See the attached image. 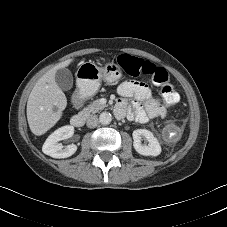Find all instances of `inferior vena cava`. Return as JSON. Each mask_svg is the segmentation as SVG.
Segmentation results:
<instances>
[{"label":"inferior vena cava","mask_w":227,"mask_h":227,"mask_svg":"<svg viewBox=\"0 0 227 227\" xmlns=\"http://www.w3.org/2000/svg\"><path fill=\"white\" fill-rule=\"evenodd\" d=\"M98 117L96 115H91L87 119V127L95 128L98 125Z\"/></svg>","instance_id":"inferior-vena-cava-1"}]
</instances>
